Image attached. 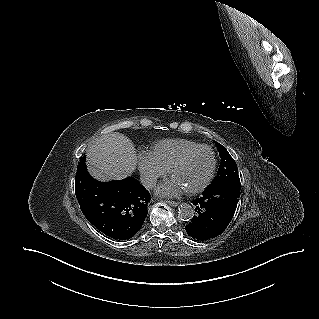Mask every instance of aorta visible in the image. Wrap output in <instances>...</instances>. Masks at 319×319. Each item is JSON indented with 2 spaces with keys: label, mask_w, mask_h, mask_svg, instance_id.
Here are the masks:
<instances>
[{
  "label": "aorta",
  "mask_w": 319,
  "mask_h": 319,
  "mask_svg": "<svg viewBox=\"0 0 319 319\" xmlns=\"http://www.w3.org/2000/svg\"><path fill=\"white\" fill-rule=\"evenodd\" d=\"M194 216V209L188 203H182L178 208V217L182 221H189Z\"/></svg>",
  "instance_id": "aorta-1"
}]
</instances>
